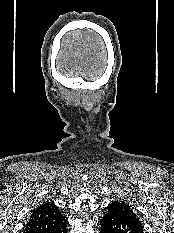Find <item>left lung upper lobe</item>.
Returning <instances> with one entry per match:
<instances>
[{
	"label": "left lung upper lobe",
	"mask_w": 174,
	"mask_h": 233,
	"mask_svg": "<svg viewBox=\"0 0 174 233\" xmlns=\"http://www.w3.org/2000/svg\"><path fill=\"white\" fill-rule=\"evenodd\" d=\"M107 209L109 212L115 213L119 216H124L139 221V218L137 217L136 213L132 210L131 206L125 202H112L107 207Z\"/></svg>",
	"instance_id": "1"
}]
</instances>
